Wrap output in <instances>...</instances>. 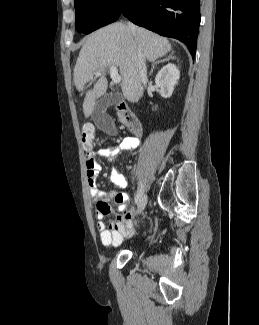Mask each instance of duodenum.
Returning a JSON list of instances; mask_svg holds the SVG:
<instances>
[{"label":"duodenum","mask_w":259,"mask_h":325,"mask_svg":"<svg viewBox=\"0 0 259 325\" xmlns=\"http://www.w3.org/2000/svg\"><path fill=\"white\" fill-rule=\"evenodd\" d=\"M114 106L121 115L129 131L135 137H139L142 134V125L135 113L125 102H116Z\"/></svg>","instance_id":"duodenum-1"}]
</instances>
